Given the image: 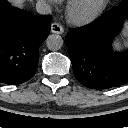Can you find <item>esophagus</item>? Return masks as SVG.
Segmentation results:
<instances>
[{"label": "esophagus", "mask_w": 128, "mask_h": 128, "mask_svg": "<svg viewBox=\"0 0 128 128\" xmlns=\"http://www.w3.org/2000/svg\"><path fill=\"white\" fill-rule=\"evenodd\" d=\"M51 32L55 34H62L64 32V28L61 24L54 22L51 24Z\"/></svg>", "instance_id": "obj_1"}]
</instances>
